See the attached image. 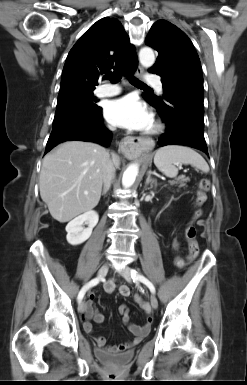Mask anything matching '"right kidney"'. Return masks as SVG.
Returning a JSON list of instances; mask_svg holds the SVG:
<instances>
[{"mask_svg": "<svg viewBox=\"0 0 247 385\" xmlns=\"http://www.w3.org/2000/svg\"><path fill=\"white\" fill-rule=\"evenodd\" d=\"M99 216L95 211H87L76 217L66 226V239L69 244L76 246L85 242L92 234L93 228L97 225ZM84 222L88 223L87 228H83Z\"/></svg>", "mask_w": 247, "mask_h": 385, "instance_id": "right-kidney-1", "label": "right kidney"}]
</instances>
